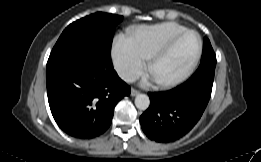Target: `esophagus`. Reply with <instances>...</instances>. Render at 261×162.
Instances as JSON below:
<instances>
[{"mask_svg":"<svg viewBox=\"0 0 261 162\" xmlns=\"http://www.w3.org/2000/svg\"><path fill=\"white\" fill-rule=\"evenodd\" d=\"M139 94V91L136 89H131V96H136Z\"/></svg>","mask_w":261,"mask_h":162,"instance_id":"esophagus-1","label":"esophagus"}]
</instances>
